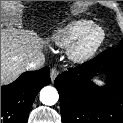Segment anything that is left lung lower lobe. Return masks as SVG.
I'll use <instances>...</instances> for the list:
<instances>
[{
    "label": "left lung lower lobe",
    "instance_id": "obj_1",
    "mask_svg": "<svg viewBox=\"0 0 123 123\" xmlns=\"http://www.w3.org/2000/svg\"><path fill=\"white\" fill-rule=\"evenodd\" d=\"M97 74L111 76L102 88L91 82ZM54 84L63 123H123V48L105 50L68 69Z\"/></svg>",
    "mask_w": 123,
    "mask_h": 123
}]
</instances>
